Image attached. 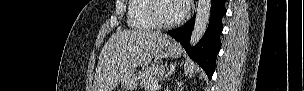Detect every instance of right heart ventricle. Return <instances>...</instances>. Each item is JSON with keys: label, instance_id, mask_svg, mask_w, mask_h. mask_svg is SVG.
Here are the masks:
<instances>
[{"label": "right heart ventricle", "instance_id": "1", "mask_svg": "<svg viewBox=\"0 0 304 91\" xmlns=\"http://www.w3.org/2000/svg\"><path fill=\"white\" fill-rule=\"evenodd\" d=\"M150 0H129L127 20L134 29H154L155 23L149 15Z\"/></svg>", "mask_w": 304, "mask_h": 91}]
</instances>
